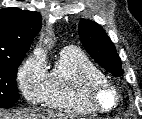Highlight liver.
<instances>
[{"label":"liver","mask_w":142,"mask_h":119,"mask_svg":"<svg viewBox=\"0 0 142 119\" xmlns=\"http://www.w3.org/2000/svg\"><path fill=\"white\" fill-rule=\"evenodd\" d=\"M70 117L61 113L47 110L30 109L17 111L15 114L0 112V119H69Z\"/></svg>","instance_id":"6515ba94"}]
</instances>
